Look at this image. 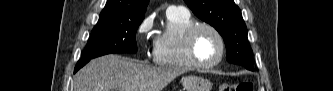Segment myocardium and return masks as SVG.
<instances>
[{
	"mask_svg": "<svg viewBox=\"0 0 333 91\" xmlns=\"http://www.w3.org/2000/svg\"><path fill=\"white\" fill-rule=\"evenodd\" d=\"M207 29L210 30L215 34L217 39L220 43V53L218 58L210 63H203L201 62L195 52V40L197 37V34L202 30ZM185 46H186V53L190 60V62L196 67L200 69H212L216 66H218L224 59L226 54V42L224 39V36L222 33L212 24L209 23H195L187 32L185 35Z\"/></svg>",
	"mask_w": 333,
	"mask_h": 91,
	"instance_id": "obj_1",
	"label": "myocardium"
}]
</instances>
